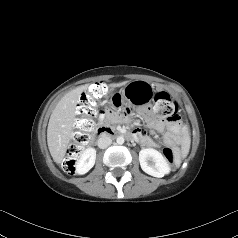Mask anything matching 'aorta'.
<instances>
[{
    "label": "aorta",
    "mask_w": 238,
    "mask_h": 238,
    "mask_svg": "<svg viewBox=\"0 0 238 238\" xmlns=\"http://www.w3.org/2000/svg\"><path fill=\"white\" fill-rule=\"evenodd\" d=\"M124 137L123 136H119V137H117V139H116V142H117V144H119V145H122L123 143H124Z\"/></svg>",
    "instance_id": "1"
}]
</instances>
